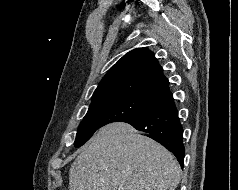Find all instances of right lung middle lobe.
<instances>
[{
  "label": "right lung middle lobe",
  "instance_id": "dd1d6c3e",
  "mask_svg": "<svg viewBox=\"0 0 238 190\" xmlns=\"http://www.w3.org/2000/svg\"><path fill=\"white\" fill-rule=\"evenodd\" d=\"M152 105L149 101L125 95L93 100L78 128L74 146H82L100 127L112 122H123Z\"/></svg>",
  "mask_w": 238,
  "mask_h": 190
}]
</instances>
